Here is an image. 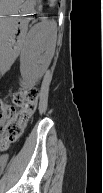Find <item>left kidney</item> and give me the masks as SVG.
<instances>
[{
    "instance_id": "left-kidney-1",
    "label": "left kidney",
    "mask_w": 103,
    "mask_h": 193,
    "mask_svg": "<svg viewBox=\"0 0 103 193\" xmlns=\"http://www.w3.org/2000/svg\"><path fill=\"white\" fill-rule=\"evenodd\" d=\"M56 34L54 22L41 23L34 37L23 49L20 57V71L23 77L34 82L42 76L51 59V46Z\"/></svg>"
}]
</instances>
